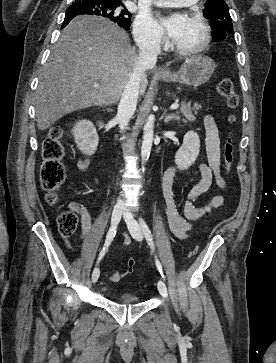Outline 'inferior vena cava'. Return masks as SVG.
Segmentation results:
<instances>
[{
	"instance_id": "602c4592",
	"label": "inferior vena cava",
	"mask_w": 276,
	"mask_h": 363,
	"mask_svg": "<svg viewBox=\"0 0 276 363\" xmlns=\"http://www.w3.org/2000/svg\"><path fill=\"white\" fill-rule=\"evenodd\" d=\"M159 40H146L139 43V54L135 59L131 76L126 84L118 105L116 120L119 123L121 131H124L133 116L137 99L139 95V86L142 73L149 68H153L157 62V56L160 54ZM123 201L121 198L117 200V207H121Z\"/></svg>"
}]
</instances>
